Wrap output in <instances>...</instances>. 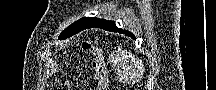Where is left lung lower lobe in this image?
Masks as SVG:
<instances>
[{
	"label": "left lung lower lobe",
	"mask_w": 216,
	"mask_h": 90,
	"mask_svg": "<svg viewBox=\"0 0 216 90\" xmlns=\"http://www.w3.org/2000/svg\"><path fill=\"white\" fill-rule=\"evenodd\" d=\"M91 27H98V28H102V29H105L108 31L120 32V33L128 35L132 38H135V36L132 33L128 32L126 30H121V29L117 28L115 25V22H113V21L100 20L88 28H91Z\"/></svg>",
	"instance_id": "obj_1"
}]
</instances>
